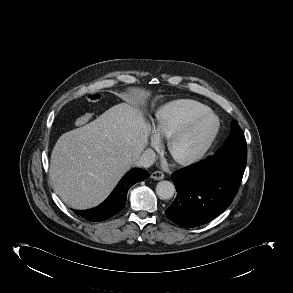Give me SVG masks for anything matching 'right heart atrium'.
Masks as SVG:
<instances>
[{
	"instance_id": "obj_1",
	"label": "right heart atrium",
	"mask_w": 293,
	"mask_h": 293,
	"mask_svg": "<svg viewBox=\"0 0 293 293\" xmlns=\"http://www.w3.org/2000/svg\"><path fill=\"white\" fill-rule=\"evenodd\" d=\"M150 144L152 148H158L161 144V139L155 132H152L151 134Z\"/></svg>"
}]
</instances>
